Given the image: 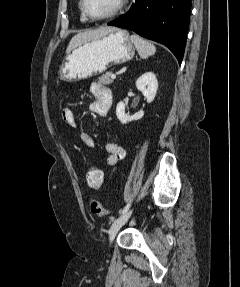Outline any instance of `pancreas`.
<instances>
[{
  "instance_id": "cf45deb5",
  "label": "pancreas",
  "mask_w": 240,
  "mask_h": 287,
  "mask_svg": "<svg viewBox=\"0 0 240 287\" xmlns=\"http://www.w3.org/2000/svg\"><path fill=\"white\" fill-rule=\"evenodd\" d=\"M111 75H112V72H106L104 75L100 76L98 80L100 83H103V84H111L114 81Z\"/></svg>"
}]
</instances>
